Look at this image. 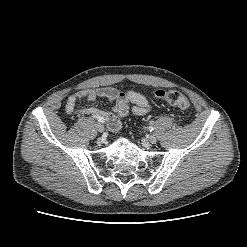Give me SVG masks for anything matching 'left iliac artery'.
I'll list each match as a JSON object with an SVG mask.
<instances>
[{"label":"left iliac artery","mask_w":247,"mask_h":247,"mask_svg":"<svg viewBox=\"0 0 247 247\" xmlns=\"http://www.w3.org/2000/svg\"><path fill=\"white\" fill-rule=\"evenodd\" d=\"M154 130V127L153 126H150L149 127V131H153Z\"/></svg>","instance_id":"left-iliac-artery-1"}]
</instances>
